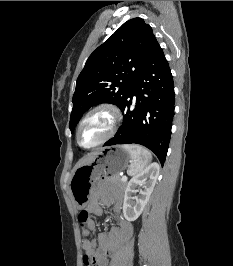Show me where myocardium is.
<instances>
[{"instance_id": "obj_1", "label": "myocardium", "mask_w": 233, "mask_h": 266, "mask_svg": "<svg viewBox=\"0 0 233 266\" xmlns=\"http://www.w3.org/2000/svg\"><path fill=\"white\" fill-rule=\"evenodd\" d=\"M100 111H107L111 114L112 116L111 127L108 133L100 141H98L97 143L93 145L85 146L84 144H82L80 140V132H81L82 126L93 114L100 112ZM122 120H123L122 111L116 104L111 103V102H103V103L96 105L90 111L87 112V114L82 118V120L80 121L78 125L77 131H76V139H77L78 144L85 149H92V148L98 147L106 143L116 134V132L118 131L122 123Z\"/></svg>"}]
</instances>
